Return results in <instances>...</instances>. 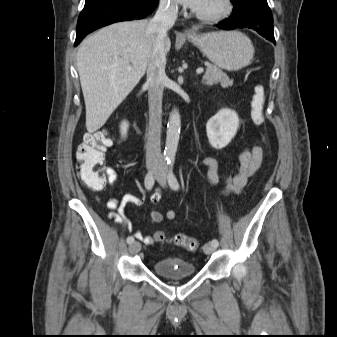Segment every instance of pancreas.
Wrapping results in <instances>:
<instances>
[{
	"label": "pancreas",
	"instance_id": "obj_1",
	"mask_svg": "<svg viewBox=\"0 0 337 337\" xmlns=\"http://www.w3.org/2000/svg\"><path fill=\"white\" fill-rule=\"evenodd\" d=\"M206 65V73L203 76V83L212 86L214 84L220 83L223 88H227L233 85V80L229 79L226 73H224L218 66L210 64L208 62Z\"/></svg>",
	"mask_w": 337,
	"mask_h": 337
}]
</instances>
